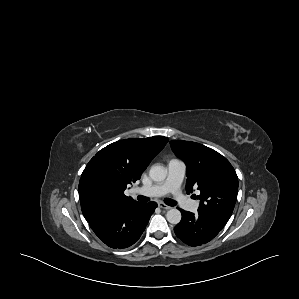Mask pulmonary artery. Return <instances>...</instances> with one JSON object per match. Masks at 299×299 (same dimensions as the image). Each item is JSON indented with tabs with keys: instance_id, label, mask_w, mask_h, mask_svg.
I'll return each mask as SVG.
<instances>
[{
	"instance_id": "e3ab8cb5",
	"label": "pulmonary artery",
	"mask_w": 299,
	"mask_h": 299,
	"mask_svg": "<svg viewBox=\"0 0 299 299\" xmlns=\"http://www.w3.org/2000/svg\"><path fill=\"white\" fill-rule=\"evenodd\" d=\"M167 171V178L162 184L140 187L135 192L149 197H160L171 193L183 208L190 211L197 210L198 203L187 199L180 190L186 172L185 164L178 159H172L167 165Z\"/></svg>"
}]
</instances>
